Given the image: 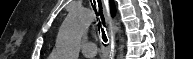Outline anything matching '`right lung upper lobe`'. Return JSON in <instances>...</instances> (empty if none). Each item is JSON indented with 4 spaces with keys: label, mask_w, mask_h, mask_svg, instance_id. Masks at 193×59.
Masks as SVG:
<instances>
[{
    "label": "right lung upper lobe",
    "mask_w": 193,
    "mask_h": 59,
    "mask_svg": "<svg viewBox=\"0 0 193 59\" xmlns=\"http://www.w3.org/2000/svg\"><path fill=\"white\" fill-rule=\"evenodd\" d=\"M110 8H111L112 16H114L115 15V6L112 0L110 1Z\"/></svg>",
    "instance_id": "obj_1"
}]
</instances>
